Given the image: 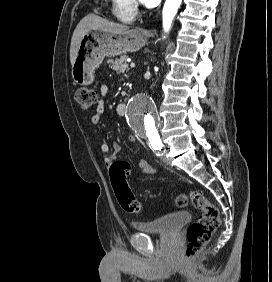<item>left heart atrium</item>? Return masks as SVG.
Returning <instances> with one entry per match:
<instances>
[{"instance_id":"1","label":"left heart atrium","mask_w":272,"mask_h":282,"mask_svg":"<svg viewBox=\"0 0 272 282\" xmlns=\"http://www.w3.org/2000/svg\"><path fill=\"white\" fill-rule=\"evenodd\" d=\"M146 7H155L159 4L160 0H142Z\"/></svg>"}]
</instances>
